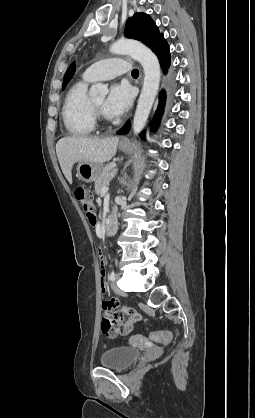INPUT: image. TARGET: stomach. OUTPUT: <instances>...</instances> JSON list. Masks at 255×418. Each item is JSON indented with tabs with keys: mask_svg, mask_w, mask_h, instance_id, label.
Wrapping results in <instances>:
<instances>
[{
	"mask_svg": "<svg viewBox=\"0 0 255 418\" xmlns=\"http://www.w3.org/2000/svg\"><path fill=\"white\" fill-rule=\"evenodd\" d=\"M119 147L122 151L128 150V145L125 143H120ZM102 170V164L93 162H79L77 166V176L80 180L89 183L95 181L102 172Z\"/></svg>",
	"mask_w": 255,
	"mask_h": 418,
	"instance_id": "1",
	"label": "stomach"
}]
</instances>
